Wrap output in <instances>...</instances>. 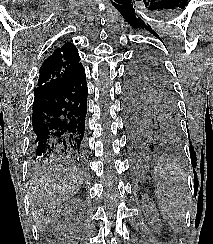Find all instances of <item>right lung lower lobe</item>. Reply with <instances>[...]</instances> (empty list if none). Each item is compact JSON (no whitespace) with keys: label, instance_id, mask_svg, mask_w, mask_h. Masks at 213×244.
Wrapping results in <instances>:
<instances>
[{"label":"right lung lower lobe","instance_id":"1","mask_svg":"<svg viewBox=\"0 0 213 244\" xmlns=\"http://www.w3.org/2000/svg\"><path fill=\"white\" fill-rule=\"evenodd\" d=\"M87 83L82 68L67 82L34 89L32 153L37 158L85 156Z\"/></svg>","mask_w":213,"mask_h":244}]
</instances>
